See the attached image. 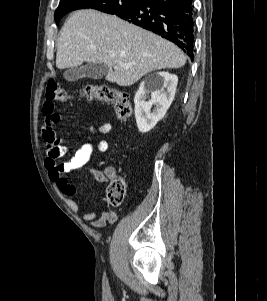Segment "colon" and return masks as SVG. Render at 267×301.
Masks as SVG:
<instances>
[{
  "label": "colon",
  "instance_id": "colon-1",
  "mask_svg": "<svg viewBox=\"0 0 267 301\" xmlns=\"http://www.w3.org/2000/svg\"><path fill=\"white\" fill-rule=\"evenodd\" d=\"M46 99L70 101L74 99L98 100L112 105L118 118L126 122L131 114L129 97L126 93L106 85H87L78 93L69 94L57 82L50 80L46 86ZM107 198L110 204L118 206L125 197V182L114 173L108 177Z\"/></svg>",
  "mask_w": 267,
  "mask_h": 301
}]
</instances>
